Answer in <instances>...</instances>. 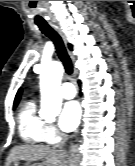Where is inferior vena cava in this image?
I'll return each mask as SVG.
<instances>
[{"instance_id": "obj_1", "label": "inferior vena cava", "mask_w": 135, "mask_h": 166, "mask_svg": "<svg viewBox=\"0 0 135 166\" xmlns=\"http://www.w3.org/2000/svg\"><path fill=\"white\" fill-rule=\"evenodd\" d=\"M67 139H68V136L67 135H63L59 146H64V144L66 143Z\"/></svg>"}]
</instances>
